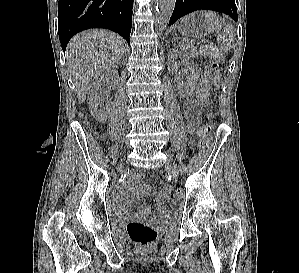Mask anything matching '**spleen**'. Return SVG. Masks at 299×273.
I'll list each match as a JSON object with an SVG mask.
<instances>
[{"label":"spleen","instance_id":"1","mask_svg":"<svg viewBox=\"0 0 299 273\" xmlns=\"http://www.w3.org/2000/svg\"><path fill=\"white\" fill-rule=\"evenodd\" d=\"M215 32L222 30V34L217 38V42L223 51H229L236 37V29L233 25H226L225 20L211 11L199 13Z\"/></svg>","mask_w":299,"mask_h":273}]
</instances>
